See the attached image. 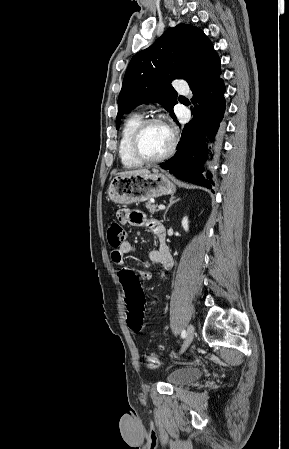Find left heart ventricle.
Instances as JSON below:
<instances>
[{
  "mask_svg": "<svg viewBox=\"0 0 289 449\" xmlns=\"http://www.w3.org/2000/svg\"><path fill=\"white\" fill-rule=\"evenodd\" d=\"M170 141L169 130L161 123H153L144 130L140 139V148L146 157L155 158L167 151Z\"/></svg>",
  "mask_w": 289,
  "mask_h": 449,
  "instance_id": "1",
  "label": "left heart ventricle"
}]
</instances>
